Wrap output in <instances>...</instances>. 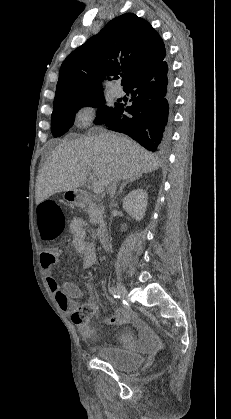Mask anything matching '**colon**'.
Listing matches in <instances>:
<instances>
[{"mask_svg":"<svg viewBox=\"0 0 231 419\" xmlns=\"http://www.w3.org/2000/svg\"><path fill=\"white\" fill-rule=\"evenodd\" d=\"M38 215L42 238L45 241L55 240L60 230L65 226L60 205L57 202L46 200L40 204ZM95 311V307L89 303L81 305L78 310L82 318L93 316Z\"/></svg>","mask_w":231,"mask_h":419,"instance_id":"obj_1","label":"colon"}]
</instances>
